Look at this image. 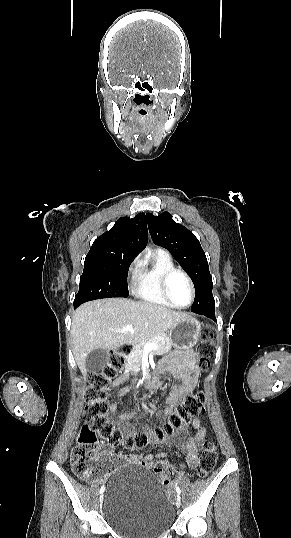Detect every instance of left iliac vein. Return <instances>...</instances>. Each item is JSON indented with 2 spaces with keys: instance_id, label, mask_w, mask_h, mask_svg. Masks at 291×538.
<instances>
[{
  "instance_id": "obj_1",
  "label": "left iliac vein",
  "mask_w": 291,
  "mask_h": 538,
  "mask_svg": "<svg viewBox=\"0 0 291 538\" xmlns=\"http://www.w3.org/2000/svg\"><path fill=\"white\" fill-rule=\"evenodd\" d=\"M176 506L177 507L181 506V498H180V496H177V498H176Z\"/></svg>"
}]
</instances>
